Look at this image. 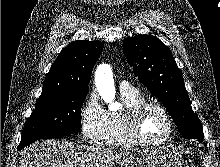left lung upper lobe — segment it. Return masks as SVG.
<instances>
[{
  "mask_svg": "<svg viewBox=\"0 0 220 167\" xmlns=\"http://www.w3.org/2000/svg\"><path fill=\"white\" fill-rule=\"evenodd\" d=\"M123 50L138 80L170 112L180 134L202 142V126L191 108L181 70L170 49L157 37L143 34L125 39Z\"/></svg>",
  "mask_w": 220,
  "mask_h": 167,
  "instance_id": "5c2ea615",
  "label": "left lung upper lobe"
}]
</instances>
